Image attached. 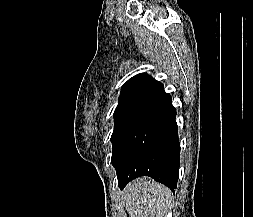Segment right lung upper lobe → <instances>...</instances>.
I'll return each mask as SVG.
<instances>
[{"mask_svg":"<svg viewBox=\"0 0 253 217\" xmlns=\"http://www.w3.org/2000/svg\"><path fill=\"white\" fill-rule=\"evenodd\" d=\"M165 93L163 85L146 73L137 74L122 87L119 104L133 101L152 103Z\"/></svg>","mask_w":253,"mask_h":217,"instance_id":"1","label":"right lung upper lobe"}]
</instances>
